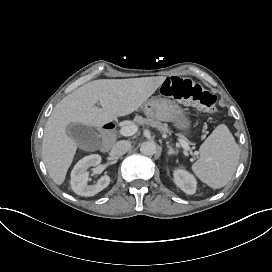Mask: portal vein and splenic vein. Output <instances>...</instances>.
Returning <instances> with one entry per match:
<instances>
[{
	"instance_id": "obj_1",
	"label": "portal vein and splenic vein",
	"mask_w": 272,
	"mask_h": 272,
	"mask_svg": "<svg viewBox=\"0 0 272 272\" xmlns=\"http://www.w3.org/2000/svg\"><path fill=\"white\" fill-rule=\"evenodd\" d=\"M137 130H138V127L136 125L124 126V127H121L120 134L123 136H132L137 132ZM179 141H180L181 147L184 150L190 149L188 143L184 139H180Z\"/></svg>"
}]
</instances>
